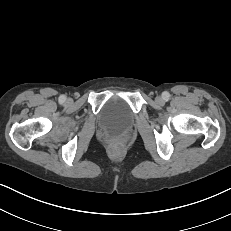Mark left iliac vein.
<instances>
[{"instance_id":"obj_1","label":"left iliac vein","mask_w":231,"mask_h":231,"mask_svg":"<svg viewBox=\"0 0 231 231\" xmlns=\"http://www.w3.org/2000/svg\"><path fill=\"white\" fill-rule=\"evenodd\" d=\"M155 101H156L158 104H163V103H164V99H163V97H161V96H157V97L155 98Z\"/></svg>"}]
</instances>
